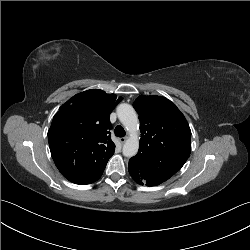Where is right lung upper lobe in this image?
Instances as JSON below:
<instances>
[{"label": "right lung upper lobe", "mask_w": 250, "mask_h": 250, "mask_svg": "<svg viewBox=\"0 0 250 250\" xmlns=\"http://www.w3.org/2000/svg\"><path fill=\"white\" fill-rule=\"evenodd\" d=\"M121 100L91 89L76 94L59 108L48 141L52 158L66 179L85 185L101 177L115 150L109 115Z\"/></svg>", "instance_id": "1"}]
</instances>
